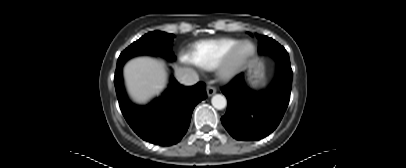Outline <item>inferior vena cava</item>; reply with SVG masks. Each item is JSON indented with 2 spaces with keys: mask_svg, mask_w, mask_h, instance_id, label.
Wrapping results in <instances>:
<instances>
[{
  "mask_svg": "<svg viewBox=\"0 0 406 168\" xmlns=\"http://www.w3.org/2000/svg\"><path fill=\"white\" fill-rule=\"evenodd\" d=\"M177 80L184 85H194L199 81L196 71L191 68H184L176 73Z\"/></svg>",
  "mask_w": 406,
  "mask_h": 168,
  "instance_id": "602c4592",
  "label": "inferior vena cava"
}]
</instances>
